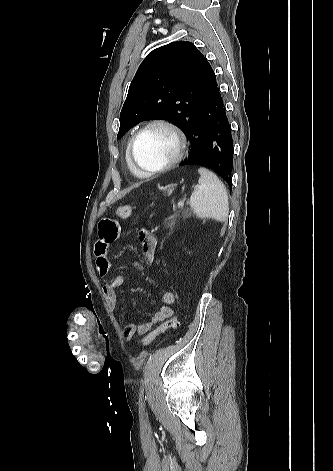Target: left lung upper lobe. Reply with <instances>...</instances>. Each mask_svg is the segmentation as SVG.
<instances>
[{
  "label": "left lung upper lobe",
  "mask_w": 333,
  "mask_h": 471,
  "mask_svg": "<svg viewBox=\"0 0 333 471\" xmlns=\"http://www.w3.org/2000/svg\"><path fill=\"white\" fill-rule=\"evenodd\" d=\"M215 74L204 55L186 41L153 50L139 66L120 113V139L138 123L165 118L192 130Z\"/></svg>",
  "instance_id": "left-lung-upper-lobe-1"
}]
</instances>
